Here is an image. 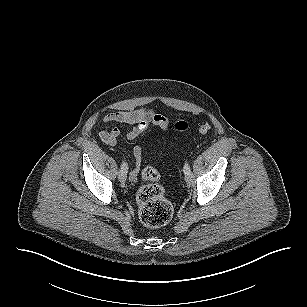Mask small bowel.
Listing matches in <instances>:
<instances>
[{"label": "small bowel", "instance_id": "obj_1", "mask_svg": "<svg viewBox=\"0 0 307 307\" xmlns=\"http://www.w3.org/2000/svg\"><path fill=\"white\" fill-rule=\"evenodd\" d=\"M103 121L105 125L112 123L132 125V128L126 133V137L129 140H133L143 134L150 125L158 127L162 131H167L169 128V120L165 116L146 108L112 112L107 114ZM120 134L121 131L119 128H108L105 126L100 131L99 136L104 144L115 146ZM142 155L143 148L141 146H135L133 149L135 166L129 172V179L131 181H136L138 179Z\"/></svg>", "mask_w": 307, "mask_h": 307}]
</instances>
